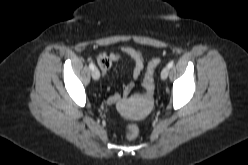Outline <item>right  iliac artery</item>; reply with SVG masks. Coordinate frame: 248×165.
Returning a JSON list of instances; mask_svg holds the SVG:
<instances>
[{
    "label": "right iliac artery",
    "instance_id": "right-iliac-artery-1",
    "mask_svg": "<svg viewBox=\"0 0 248 165\" xmlns=\"http://www.w3.org/2000/svg\"><path fill=\"white\" fill-rule=\"evenodd\" d=\"M89 68H90L91 70H93V69L95 68V65H94L93 63H90V64H89Z\"/></svg>",
    "mask_w": 248,
    "mask_h": 165
}]
</instances>
